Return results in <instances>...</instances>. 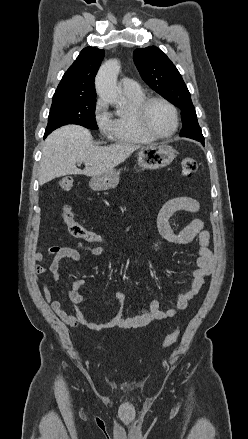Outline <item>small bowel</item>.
Instances as JSON below:
<instances>
[{"mask_svg":"<svg viewBox=\"0 0 248 439\" xmlns=\"http://www.w3.org/2000/svg\"><path fill=\"white\" fill-rule=\"evenodd\" d=\"M199 210L200 204L196 199L182 195L165 202L157 215L156 225L162 239L152 243L150 246L151 253L156 252L164 242L188 244L197 239L199 243L190 288L178 296L174 307L161 309L159 301L155 299L150 303L149 307L140 308L135 315L127 316L124 313L125 297L123 293L117 292L115 294L113 316L104 323L93 322L78 308L79 304L87 301V298L80 292L81 287L85 284L83 279L75 280L72 288L68 291V297L74 309L73 314H69L63 309L62 302L59 299L52 298V292L46 282L42 286L44 300L66 325L70 327L82 325L97 331L115 327L122 329L142 328L152 323L175 317L179 312L188 307L189 302L199 293L205 278L214 269V257L209 247L210 235L204 228L203 220L195 218L180 230H175L170 224L171 217L178 211L197 213ZM76 246L77 248L73 246H53L48 249L47 255L41 251L36 252L34 260L41 264L34 267V274L36 276L49 274L53 280L58 281L61 275V262L64 259H69L76 263L81 262L82 257L78 249L97 257H102L105 254L100 246L89 245L83 242L77 243ZM47 261H49V265L46 267L43 264Z\"/></svg>","mask_w":248,"mask_h":439,"instance_id":"obj_1","label":"small bowel"}]
</instances>
